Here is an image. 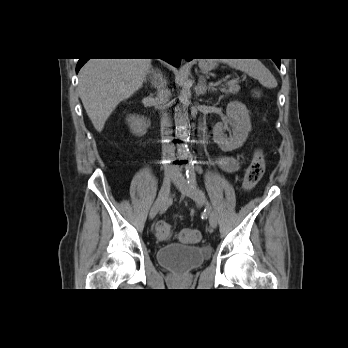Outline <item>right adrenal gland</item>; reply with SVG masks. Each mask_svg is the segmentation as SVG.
Wrapping results in <instances>:
<instances>
[{"instance_id":"obj_1","label":"right adrenal gland","mask_w":348,"mask_h":348,"mask_svg":"<svg viewBox=\"0 0 348 348\" xmlns=\"http://www.w3.org/2000/svg\"><path fill=\"white\" fill-rule=\"evenodd\" d=\"M159 77H160L159 70L151 66L148 72V77H147L148 81L151 84V87H154V88L156 87Z\"/></svg>"}]
</instances>
